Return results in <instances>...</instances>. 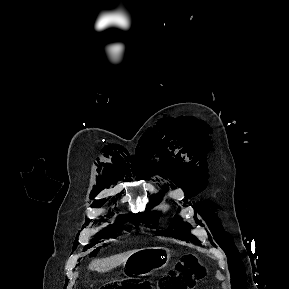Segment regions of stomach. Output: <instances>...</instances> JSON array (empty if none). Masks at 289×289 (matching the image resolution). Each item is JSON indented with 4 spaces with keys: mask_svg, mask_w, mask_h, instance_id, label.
<instances>
[{
    "mask_svg": "<svg viewBox=\"0 0 289 289\" xmlns=\"http://www.w3.org/2000/svg\"><path fill=\"white\" fill-rule=\"evenodd\" d=\"M170 250L164 247L144 248L131 255L123 264V270L131 275L146 276L165 267Z\"/></svg>",
    "mask_w": 289,
    "mask_h": 289,
    "instance_id": "1",
    "label": "stomach"
}]
</instances>
